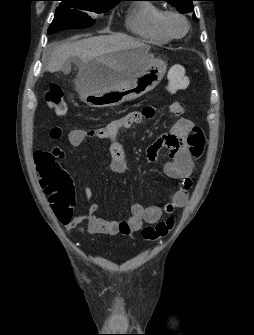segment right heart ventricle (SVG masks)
I'll list each match as a JSON object with an SVG mask.
<instances>
[{
  "label": "right heart ventricle",
  "instance_id": "e07e8e85",
  "mask_svg": "<svg viewBox=\"0 0 254 335\" xmlns=\"http://www.w3.org/2000/svg\"><path fill=\"white\" fill-rule=\"evenodd\" d=\"M162 13L163 10L153 3L135 4L127 12L126 27L131 33L145 41L158 44L167 43L170 38L159 27Z\"/></svg>",
  "mask_w": 254,
  "mask_h": 335
}]
</instances>
